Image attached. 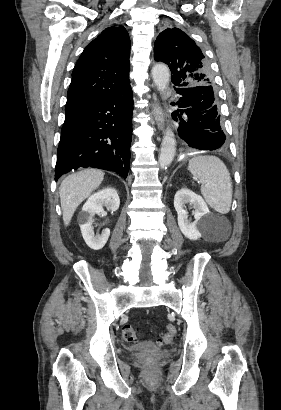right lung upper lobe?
Returning <instances> with one entry per match:
<instances>
[{"label":"right lung upper lobe","instance_id":"1","mask_svg":"<svg viewBox=\"0 0 281 410\" xmlns=\"http://www.w3.org/2000/svg\"><path fill=\"white\" fill-rule=\"evenodd\" d=\"M129 56L130 39L123 26L102 31L84 49L73 69L65 111L127 88Z\"/></svg>","mask_w":281,"mask_h":410}]
</instances>
